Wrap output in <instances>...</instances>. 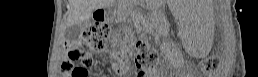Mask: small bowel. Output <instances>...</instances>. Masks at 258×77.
Listing matches in <instances>:
<instances>
[{"label":"small bowel","mask_w":258,"mask_h":77,"mask_svg":"<svg viewBox=\"0 0 258 77\" xmlns=\"http://www.w3.org/2000/svg\"><path fill=\"white\" fill-rule=\"evenodd\" d=\"M85 58L87 61H89L91 59V55L88 53H85ZM113 66L116 67V69L119 68V64L117 62H115Z\"/></svg>","instance_id":"obj_1"}]
</instances>
